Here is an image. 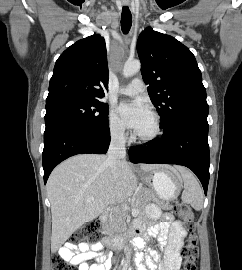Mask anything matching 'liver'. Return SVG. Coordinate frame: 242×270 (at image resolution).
<instances>
[{
  "mask_svg": "<svg viewBox=\"0 0 242 270\" xmlns=\"http://www.w3.org/2000/svg\"><path fill=\"white\" fill-rule=\"evenodd\" d=\"M107 156L79 154L58 165L47 182L51 203V249H59L86 222L97 218L109 205L137 194V179L130 165L123 161L113 177L105 164ZM164 167L141 164L149 172ZM93 197L94 200H89Z\"/></svg>",
  "mask_w": 242,
  "mask_h": 270,
  "instance_id": "6515ba94",
  "label": "liver"
}]
</instances>
